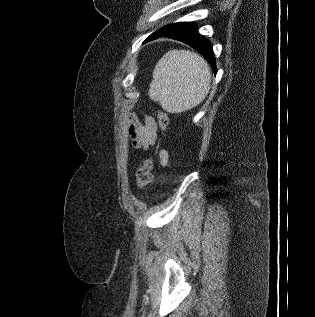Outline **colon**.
I'll return each instance as SVG.
<instances>
[{
    "mask_svg": "<svg viewBox=\"0 0 315 317\" xmlns=\"http://www.w3.org/2000/svg\"><path fill=\"white\" fill-rule=\"evenodd\" d=\"M158 123L162 132H165L168 123L169 117L165 110L160 109L158 114ZM153 170H154V158L152 156L148 157L142 166L137 170L136 173V184L137 188L142 190L148 186L153 181Z\"/></svg>",
    "mask_w": 315,
    "mask_h": 317,
    "instance_id": "obj_1",
    "label": "colon"
}]
</instances>
